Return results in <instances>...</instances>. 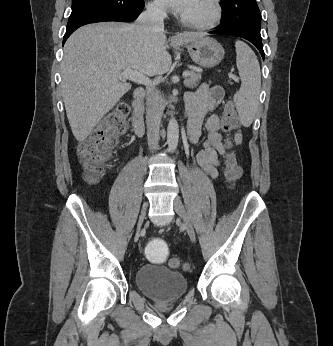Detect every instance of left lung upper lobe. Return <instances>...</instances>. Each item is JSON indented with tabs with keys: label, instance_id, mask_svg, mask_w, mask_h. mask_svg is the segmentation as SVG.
Returning a JSON list of instances; mask_svg holds the SVG:
<instances>
[{
	"label": "left lung upper lobe",
	"instance_id": "left-lung-upper-lobe-1",
	"mask_svg": "<svg viewBox=\"0 0 333 346\" xmlns=\"http://www.w3.org/2000/svg\"><path fill=\"white\" fill-rule=\"evenodd\" d=\"M223 25L242 27L260 35L261 13L256 0H221Z\"/></svg>",
	"mask_w": 333,
	"mask_h": 346
}]
</instances>
